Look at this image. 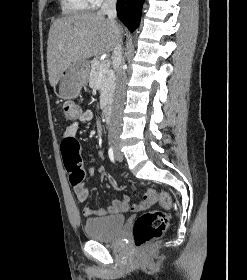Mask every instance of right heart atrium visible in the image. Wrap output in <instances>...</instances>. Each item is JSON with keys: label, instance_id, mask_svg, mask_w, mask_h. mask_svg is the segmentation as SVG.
<instances>
[{"label": "right heart atrium", "instance_id": "1", "mask_svg": "<svg viewBox=\"0 0 247 280\" xmlns=\"http://www.w3.org/2000/svg\"><path fill=\"white\" fill-rule=\"evenodd\" d=\"M104 0H90L91 4L93 6H97L99 5L100 3H102Z\"/></svg>", "mask_w": 247, "mask_h": 280}]
</instances>
